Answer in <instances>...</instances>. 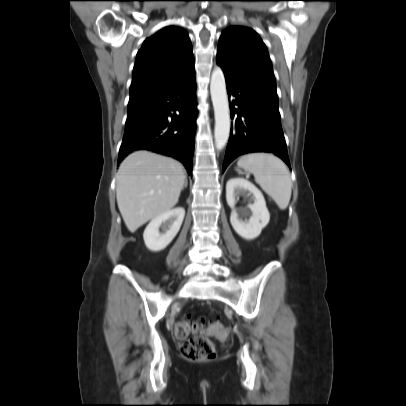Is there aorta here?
<instances>
[{
    "label": "aorta",
    "instance_id": "762f6f07",
    "mask_svg": "<svg viewBox=\"0 0 406 406\" xmlns=\"http://www.w3.org/2000/svg\"><path fill=\"white\" fill-rule=\"evenodd\" d=\"M210 93L215 116V147L222 150L229 139L231 123L225 77L220 67L212 71Z\"/></svg>",
    "mask_w": 406,
    "mask_h": 406
}]
</instances>
